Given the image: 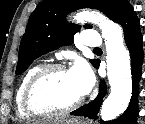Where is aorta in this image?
<instances>
[{
    "mask_svg": "<svg viewBox=\"0 0 145 124\" xmlns=\"http://www.w3.org/2000/svg\"><path fill=\"white\" fill-rule=\"evenodd\" d=\"M74 19L77 22L95 23L102 31L111 92L102 104L100 116L104 121L113 120L127 109L132 96L130 56L124 46L122 28L104 15L93 11L80 12Z\"/></svg>",
    "mask_w": 145,
    "mask_h": 124,
    "instance_id": "aorta-1",
    "label": "aorta"
}]
</instances>
